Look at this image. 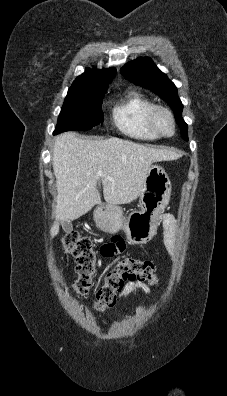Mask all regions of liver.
I'll list each match as a JSON object with an SVG mask.
<instances>
[{
    "instance_id": "1",
    "label": "liver",
    "mask_w": 227,
    "mask_h": 396,
    "mask_svg": "<svg viewBox=\"0 0 227 396\" xmlns=\"http://www.w3.org/2000/svg\"><path fill=\"white\" fill-rule=\"evenodd\" d=\"M177 156L170 150L117 137L91 140L73 132L60 134L55 138L52 155L58 195L51 236L58 234L60 221L76 220L101 202L99 181L108 204H127L140 196L147 168L153 162Z\"/></svg>"
}]
</instances>
